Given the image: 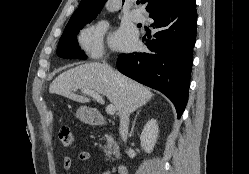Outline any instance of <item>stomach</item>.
I'll return each instance as SVG.
<instances>
[{"label":"stomach","mask_w":249,"mask_h":174,"mask_svg":"<svg viewBox=\"0 0 249 174\" xmlns=\"http://www.w3.org/2000/svg\"><path fill=\"white\" fill-rule=\"evenodd\" d=\"M76 116L82 122L90 123L93 119V112L90 108L82 106L77 110Z\"/></svg>","instance_id":"0dacf381"}]
</instances>
